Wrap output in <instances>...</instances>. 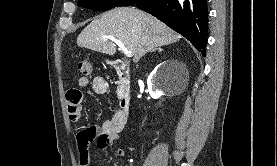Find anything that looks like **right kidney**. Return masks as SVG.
<instances>
[{
	"mask_svg": "<svg viewBox=\"0 0 277 166\" xmlns=\"http://www.w3.org/2000/svg\"><path fill=\"white\" fill-rule=\"evenodd\" d=\"M166 64V62H163L159 64L155 70L149 75L147 84H148V90L149 94L153 99H158L160 96L163 95V79L165 77H162L161 74L162 67Z\"/></svg>",
	"mask_w": 277,
	"mask_h": 166,
	"instance_id": "obj_1",
	"label": "right kidney"
}]
</instances>
